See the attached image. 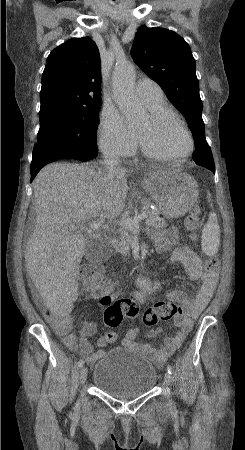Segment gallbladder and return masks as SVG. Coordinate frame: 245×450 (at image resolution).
I'll list each match as a JSON object with an SVG mask.
<instances>
[{"label":"gallbladder","instance_id":"bac80fb5","mask_svg":"<svg viewBox=\"0 0 245 450\" xmlns=\"http://www.w3.org/2000/svg\"><path fill=\"white\" fill-rule=\"evenodd\" d=\"M84 254L90 261H104L110 254V249L100 241L90 240L87 242Z\"/></svg>","mask_w":245,"mask_h":450}]
</instances>
